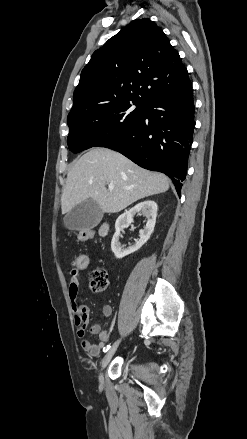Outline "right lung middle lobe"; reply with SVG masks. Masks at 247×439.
Instances as JSON below:
<instances>
[{
	"label": "right lung middle lobe",
	"mask_w": 247,
	"mask_h": 439,
	"mask_svg": "<svg viewBox=\"0 0 247 439\" xmlns=\"http://www.w3.org/2000/svg\"><path fill=\"white\" fill-rule=\"evenodd\" d=\"M145 109L146 104L142 102L123 100L68 117L69 149L78 153L95 146L107 147L136 126L143 118Z\"/></svg>",
	"instance_id": "dd1d6c3e"
}]
</instances>
